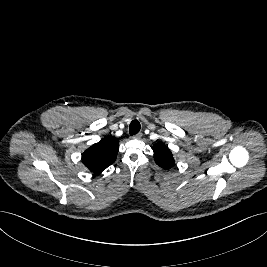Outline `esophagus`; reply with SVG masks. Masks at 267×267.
<instances>
[{"label":"esophagus","mask_w":267,"mask_h":267,"mask_svg":"<svg viewBox=\"0 0 267 267\" xmlns=\"http://www.w3.org/2000/svg\"><path fill=\"white\" fill-rule=\"evenodd\" d=\"M134 139H141L142 138V133H138L133 136Z\"/></svg>","instance_id":"1"}]
</instances>
